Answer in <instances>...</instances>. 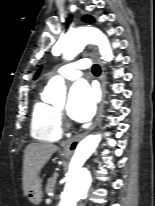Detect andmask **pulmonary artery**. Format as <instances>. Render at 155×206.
<instances>
[{
    "label": "pulmonary artery",
    "instance_id": "obj_1",
    "mask_svg": "<svg viewBox=\"0 0 155 206\" xmlns=\"http://www.w3.org/2000/svg\"><path fill=\"white\" fill-rule=\"evenodd\" d=\"M89 67V61L87 59H81L79 61L70 62L61 66L57 73L66 79H76L82 74V70Z\"/></svg>",
    "mask_w": 155,
    "mask_h": 206
}]
</instances>
